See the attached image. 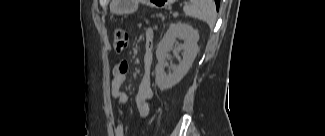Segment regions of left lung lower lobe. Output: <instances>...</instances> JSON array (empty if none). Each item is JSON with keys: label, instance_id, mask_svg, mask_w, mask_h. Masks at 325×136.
I'll return each mask as SVG.
<instances>
[{"label": "left lung lower lobe", "instance_id": "obj_1", "mask_svg": "<svg viewBox=\"0 0 325 136\" xmlns=\"http://www.w3.org/2000/svg\"><path fill=\"white\" fill-rule=\"evenodd\" d=\"M215 3H216V7H217V10L219 8V3H220V0H215Z\"/></svg>", "mask_w": 325, "mask_h": 136}]
</instances>
